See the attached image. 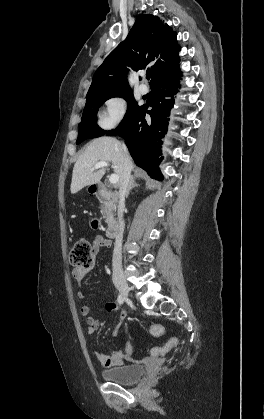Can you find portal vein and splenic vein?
Returning <instances> with one entry per match:
<instances>
[{"instance_id":"18ae733b","label":"portal vein and splenic vein","mask_w":264,"mask_h":419,"mask_svg":"<svg viewBox=\"0 0 264 419\" xmlns=\"http://www.w3.org/2000/svg\"><path fill=\"white\" fill-rule=\"evenodd\" d=\"M108 166H109V164L107 162L102 161V162L96 163L95 166L93 168H91V170L94 171V170H97L99 168L108 167ZM118 180H119V177L116 174H112L109 177V181H110L111 184H117Z\"/></svg>"}]
</instances>
